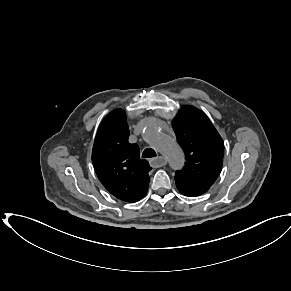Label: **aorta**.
<instances>
[{
  "mask_svg": "<svg viewBox=\"0 0 291 291\" xmlns=\"http://www.w3.org/2000/svg\"><path fill=\"white\" fill-rule=\"evenodd\" d=\"M144 137L159 152L168 158L171 167L179 169L183 166L184 154L171 137L162 134L158 128L154 126H148L146 128Z\"/></svg>",
  "mask_w": 291,
  "mask_h": 291,
  "instance_id": "obj_1",
  "label": "aorta"
}]
</instances>
